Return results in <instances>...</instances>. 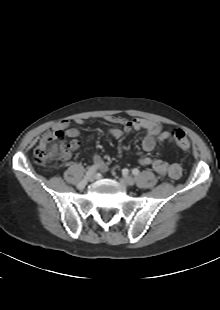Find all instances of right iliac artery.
Instances as JSON below:
<instances>
[{"label": "right iliac artery", "instance_id": "right-iliac-artery-1", "mask_svg": "<svg viewBox=\"0 0 220 310\" xmlns=\"http://www.w3.org/2000/svg\"><path fill=\"white\" fill-rule=\"evenodd\" d=\"M97 166L96 165H93L91 167H89L88 171L86 172V175L84 177V179H82L78 185H77V188L78 189H83L85 187V185L87 184V179L89 178V176L91 174H93L96 170H97Z\"/></svg>", "mask_w": 220, "mask_h": 310}]
</instances>
